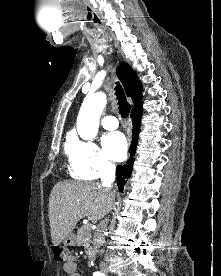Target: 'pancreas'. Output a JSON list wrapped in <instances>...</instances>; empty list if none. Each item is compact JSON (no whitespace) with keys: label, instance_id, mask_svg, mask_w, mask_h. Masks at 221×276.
I'll return each instance as SVG.
<instances>
[{"label":"pancreas","instance_id":"pancreas-1","mask_svg":"<svg viewBox=\"0 0 221 276\" xmlns=\"http://www.w3.org/2000/svg\"><path fill=\"white\" fill-rule=\"evenodd\" d=\"M91 238L92 235L90 225H84L78 229L76 236V243L78 246H84L88 250L91 249Z\"/></svg>","mask_w":221,"mask_h":276}]
</instances>
